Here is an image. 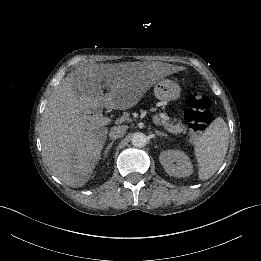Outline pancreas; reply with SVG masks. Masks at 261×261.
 Instances as JSON below:
<instances>
[{"label":"pancreas","instance_id":"pancreas-1","mask_svg":"<svg viewBox=\"0 0 261 261\" xmlns=\"http://www.w3.org/2000/svg\"><path fill=\"white\" fill-rule=\"evenodd\" d=\"M164 114L161 115L162 120L158 119L157 117H155L157 119L158 122L161 123V127H165V129L169 132V133H173L174 135L178 136L181 133L186 134L187 133V128L184 124L181 123H177V120L174 119L173 121H167L164 119ZM177 125V126H175Z\"/></svg>","mask_w":261,"mask_h":261}]
</instances>
